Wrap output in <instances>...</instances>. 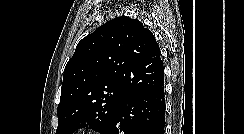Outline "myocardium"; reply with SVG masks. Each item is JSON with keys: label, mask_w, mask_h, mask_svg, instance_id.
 <instances>
[{"label": "myocardium", "mask_w": 244, "mask_h": 134, "mask_svg": "<svg viewBox=\"0 0 244 134\" xmlns=\"http://www.w3.org/2000/svg\"><path fill=\"white\" fill-rule=\"evenodd\" d=\"M76 134H104L103 132L95 129L84 130Z\"/></svg>", "instance_id": "1"}]
</instances>
